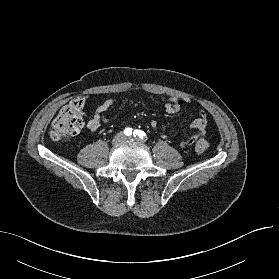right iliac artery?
Masks as SVG:
<instances>
[{"label":"right iliac artery","mask_w":279,"mask_h":279,"mask_svg":"<svg viewBox=\"0 0 279 279\" xmlns=\"http://www.w3.org/2000/svg\"><path fill=\"white\" fill-rule=\"evenodd\" d=\"M124 134H125L126 136H130V135L132 134V128H126V129L124 130Z\"/></svg>","instance_id":"1"}]
</instances>
